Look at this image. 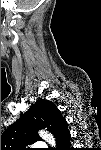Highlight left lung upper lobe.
<instances>
[{
  "label": "left lung upper lobe",
  "mask_w": 101,
  "mask_h": 150,
  "mask_svg": "<svg viewBox=\"0 0 101 150\" xmlns=\"http://www.w3.org/2000/svg\"><path fill=\"white\" fill-rule=\"evenodd\" d=\"M38 128H47L58 139L67 131V124L57 107L48 100H38L20 119L1 135V145L19 149L39 140Z\"/></svg>",
  "instance_id": "5c2ea615"
}]
</instances>
